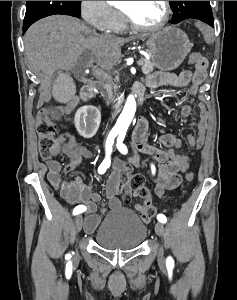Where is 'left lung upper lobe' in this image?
<instances>
[{
	"label": "left lung upper lobe",
	"mask_w": 237,
	"mask_h": 300,
	"mask_svg": "<svg viewBox=\"0 0 237 300\" xmlns=\"http://www.w3.org/2000/svg\"><path fill=\"white\" fill-rule=\"evenodd\" d=\"M173 10L171 23L177 24L185 19H199L205 23L213 19L210 1H170Z\"/></svg>",
	"instance_id": "5c2ea615"
}]
</instances>
